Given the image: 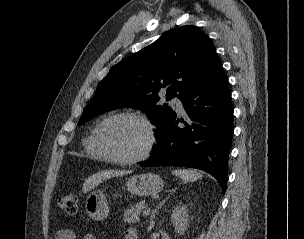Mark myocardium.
<instances>
[{
    "mask_svg": "<svg viewBox=\"0 0 304 239\" xmlns=\"http://www.w3.org/2000/svg\"><path fill=\"white\" fill-rule=\"evenodd\" d=\"M120 118H132V119L138 120L142 124H144V126L147 129V132H148L147 144H146L145 148L143 149V151L136 156L128 157V158L120 157V156L112 153L104 145V143L102 141V131H103L104 127L111 121H114V120H117ZM156 140H157L156 130H155L153 123L144 114L135 112V111H123V112H118V113L109 115L108 117L103 119L98 124V126L95 130V134H94L95 145L98 148V150L104 155V157L113 163H117V164H121V165H132V164L145 160L151 154V152L156 144Z\"/></svg>",
    "mask_w": 304,
    "mask_h": 239,
    "instance_id": "myocardium-1",
    "label": "myocardium"
}]
</instances>
